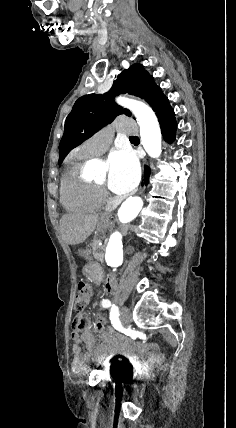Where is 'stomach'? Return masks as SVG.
<instances>
[{
    "instance_id": "0dacf381",
    "label": "stomach",
    "mask_w": 236,
    "mask_h": 428,
    "mask_svg": "<svg viewBox=\"0 0 236 428\" xmlns=\"http://www.w3.org/2000/svg\"><path fill=\"white\" fill-rule=\"evenodd\" d=\"M79 254L88 260L85 263L83 270V278L88 279L89 283H92L95 287H98L101 283L104 282L105 275L101 268V264L90 260V252H88V250H79Z\"/></svg>"
}]
</instances>
